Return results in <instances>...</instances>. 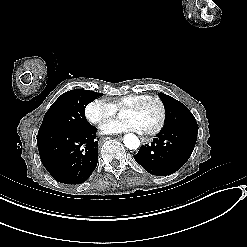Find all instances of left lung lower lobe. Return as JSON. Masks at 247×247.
<instances>
[{
    "mask_svg": "<svg viewBox=\"0 0 247 247\" xmlns=\"http://www.w3.org/2000/svg\"><path fill=\"white\" fill-rule=\"evenodd\" d=\"M198 128L165 129L153 138L151 144L141 146L134 155L147 172L166 176L179 170L191 156L197 140Z\"/></svg>",
    "mask_w": 247,
    "mask_h": 247,
    "instance_id": "left-lung-lower-lobe-1",
    "label": "left lung lower lobe"
}]
</instances>
